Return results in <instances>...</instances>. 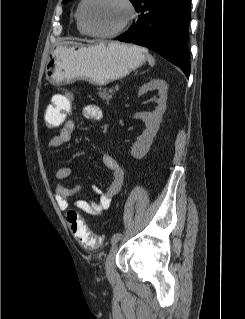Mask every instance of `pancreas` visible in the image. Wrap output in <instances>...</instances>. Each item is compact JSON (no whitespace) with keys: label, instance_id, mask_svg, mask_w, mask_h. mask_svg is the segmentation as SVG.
Masks as SVG:
<instances>
[{"label":"pancreas","instance_id":"pancreas-1","mask_svg":"<svg viewBox=\"0 0 245 319\" xmlns=\"http://www.w3.org/2000/svg\"><path fill=\"white\" fill-rule=\"evenodd\" d=\"M98 95L103 99L106 100L107 102L110 101V99L113 96V92L110 91L108 88H98Z\"/></svg>","mask_w":245,"mask_h":319}]
</instances>
